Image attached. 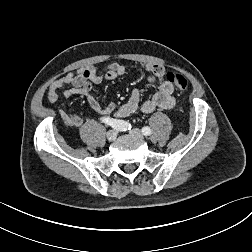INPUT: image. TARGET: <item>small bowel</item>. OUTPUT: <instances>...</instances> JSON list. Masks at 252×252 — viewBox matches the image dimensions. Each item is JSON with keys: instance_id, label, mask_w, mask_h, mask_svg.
Listing matches in <instances>:
<instances>
[{"instance_id": "c3829d8e", "label": "small bowel", "mask_w": 252, "mask_h": 252, "mask_svg": "<svg viewBox=\"0 0 252 252\" xmlns=\"http://www.w3.org/2000/svg\"><path fill=\"white\" fill-rule=\"evenodd\" d=\"M141 67L148 73L149 83L158 84L157 92L144 102H141V94L137 88L132 90L128 101L119 106L114 102L103 106L93 96V85L100 84L103 80H115L126 74L127 67L118 62L109 64L102 73H99L92 66L82 68L76 73H68L50 85L47 91V99L52 103L58 101L60 91L66 97L83 96L91 109L102 116L101 118H110L109 116L117 119L125 118L131 114L124 110L127 107H135L136 111L140 109L145 114H151L156 109L172 108L176 103L173 96L174 86L166 79L165 69L159 64L152 63H143ZM58 114L70 126L79 127L83 123L79 114L67 113L63 110H59Z\"/></svg>"}]
</instances>
